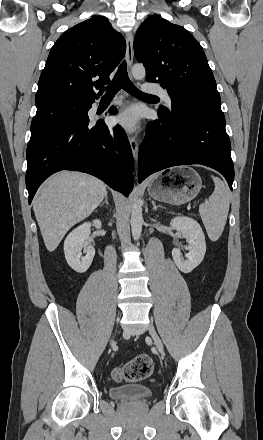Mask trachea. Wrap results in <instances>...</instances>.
I'll return each mask as SVG.
<instances>
[{
  "mask_svg": "<svg viewBox=\"0 0 263 440\" xmlns=\"http://www.w3.org/2000/svg\"><path fill=\"white\" fill-rule=\"evenodd\" d=\"M124 89L129 94L136 97H155L154 95L146 94L136 88V86L130 81L127 73V64L126 62H122L119 66L118 71L112 80V82L108 85L107 93L105 97L114 96L120 89Z\"/></svg>",
  "mask_w": 263,
  "mask_h": 440,
  "instance_id": "obj_1",
  "label": "trachea"
}]
</instances>
